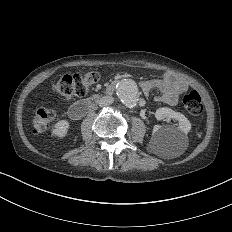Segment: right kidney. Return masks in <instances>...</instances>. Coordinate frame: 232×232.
<instances>
[{
    "label": "right kidney",
    "instance_id": "obj_1",
    "mask_svg": "<svg viewBox=\"0 0 232 232\" xmlns=\"http://www.w3.org/2000/svg\"><path fill=\"white\" fill-rule=\"evenodd\" d=\"M67 128H68V123L65 121H60L57 125L55 132L57 135L62 136L66 133Z\"/></svg>",
    "mask_w": 232,
    "mask_h": 232
}]
</instances>
